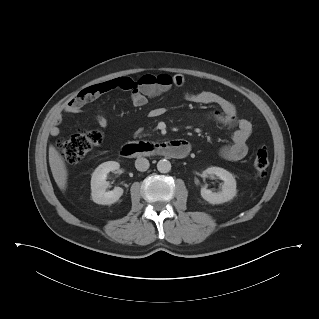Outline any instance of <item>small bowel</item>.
I'll list each match as a JSON object with an SVG mask.
<instances>
[{
    "instance_id": "c3829d8e",
    "label": "small bowel",
    "mask_w": 319,
    "mask_h": 319,
    "mask_svg": "<svg viewBox=\"0 0 319 319\" xmlns=\"http://www.w3.org/2000/svg\"><path fill=\"white\" fill-rule=\"evenodd\" d=\"M171 83L163 86L155 91L144 93L141 91L131 92V101L135 106L141 107L148 103L149 98L155 97L166 92L171 86L182 87L185 84V78L181 74L170 76ZM127 77L114 78L98 84L88 86L81 90L78 95L67 101L63 107V112L68 114L80 113L82 108L89 102L94 101L103 94L118 88ZM186 99L189 101L203 104L213 105L216 109L211 113V118L228 127H233V141L229 145L223 146L219 154L222 158L230 161H238L243 159L248 152L247 142L252 133V124L249 120L239 118L237 110L232 102L225 97L210 91L187 92ZM152 117L162 114L161 108H153L150 112ZM93 119L100 126L105 128L108 125V118L103 113H96ZM60 116L57 117L55 124L51 127V134L56 136L60 133L59 128Z\"/></svg>"
}]
</instances>
